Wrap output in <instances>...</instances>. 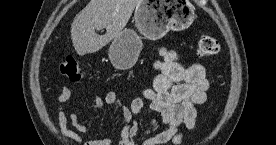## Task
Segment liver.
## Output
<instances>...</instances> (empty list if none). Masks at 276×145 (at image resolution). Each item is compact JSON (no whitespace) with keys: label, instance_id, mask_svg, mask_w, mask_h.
<instances>
[{"label":"liver","instance_id":"obj_1","mask_svg":"<svg viewBox=\"0 0 276 145\" xmlns=\"http://www.w3.org/2000/svg\"><path fill=\"white\" fill-rule=\"evenodd\" d=\"M140 0H90L71 24V39L79 55L95 53L119 35ZM106 29L104 35L96 30Z\"/></svg>","mask_w":276,"mask_h":145}]
</instances>
